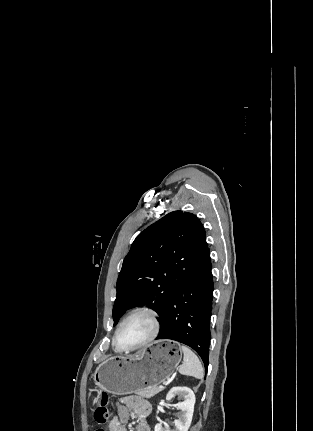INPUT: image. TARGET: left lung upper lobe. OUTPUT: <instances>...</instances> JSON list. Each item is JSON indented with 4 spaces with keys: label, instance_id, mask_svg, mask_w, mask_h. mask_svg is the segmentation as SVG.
Listing matches in <instances>:
<instances>
[{
    "label": "left lung upper lobe",
    "instance_id": "obj_1",
    "mask_svg": "<svg viewBox=\"0 0 313 431\" xmlns=\"http://www.w3.org/2000/svg\"><path fill=\"white\" fill-rule=\"evenodd\" d=\"M207 248L204 227L192 213L173 211L142 231L132 243L117 280L114 326L135 306L147 305L161 317Z\"/></svg>",
    "mask_w": 313,
    "mask_h": 431
}]
</instances>
